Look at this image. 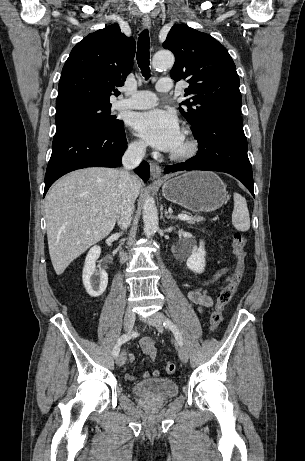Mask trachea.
<instances>
[{
    "label": "trachea",
    "instance_id": "trachea-1",
    "mask_svg": "<svg viewBox=\"0 0 305 461\" xmlns=\"http://www.w3.org/2000/svg\"><path fill=\"white\" fill-rule=\"evenodd\" d=\"M149 44H150L149 32L147 29H145L144 31L141 32L138 38L136 58H137V63L141 69V72L146 80L149 79L150 77Z\"/></svg>",
    "mask_w": 305,
    "mask_h": 461
}]
</instances>
